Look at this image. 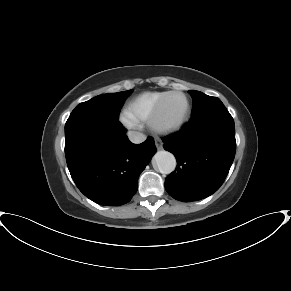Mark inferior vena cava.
<instances>
[{"label": "inferior vena cava", "mask_w": 291, "mask_h": 291, "mask_svg": "<svg viewBox=\"0 0 291 291\" xmlns=\"http://www.w3.org/2000/svg\"><path fill=\"white\" fill-rule=\"evenodd\" d=\"M128 138L132 143L139 144L145 141L146 136L141 132L129 131Z\"/></svg>", "instance_id": "inferior-vena-cava-1"}]
</instances>
